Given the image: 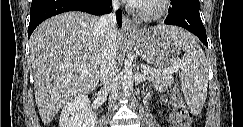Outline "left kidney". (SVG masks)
Listing matches in <instances>:
<instances>
[{
	"label": "left kidney",
	"mask_w": 243,
	"mask_h": 127,
	"mask_svg": "<svg viewBox=\"0 0 243 127\" xmlns=\"http://www.w3.org/2000/svg\"><path fill=\"white\" fill-rule=\"evenodd\" d=\"M162 101L165 102V104H166V103L168 102V99H165V100H164V99L162 98Z\"/></svg>",
	"instance_id": "left-kidney-1"
}]
</instances>
